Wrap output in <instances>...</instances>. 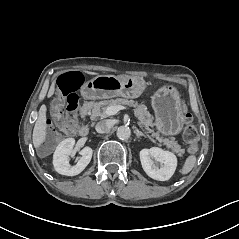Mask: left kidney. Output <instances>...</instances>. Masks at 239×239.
Wrapping results in <instances>:
<instances>
[{
    "label": "left kidney",
    "instance_id": "left-kidney-1",
    "mask_svg": "<svg viewBox=\"0 0 239 239\" xmlns=\"http://www.w3.org/2000/svg\"><path fill=\"white\" fill-rule=\"evenodd\" d=\"M143 170L152 179L164 181L169 179L176 168V157L159 148L143 149L140 152Z\"/></svg>",
    "mask_w": 239,
    "mask_h": 239
}]
</instances>
